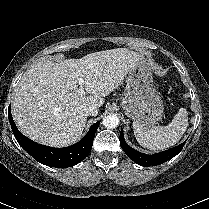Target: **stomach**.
Masks as SVG:
<instances>
[{
    "label": "stomach",
    "mask_w": 209,
    "mask_h": 209,
    "mask_svg": "<svg viewBox=\"0 0 209 209\" xmlns=\"http://www.w3.org/2000/svg\"><path fill=\"white\" fill-rule=\"evenodd\" d=\"M121 106L127 117L142 126H154L162 119L164 105L153 83L149 63L144 58L127 73Z\"/></svg>",
    "instance_id": "1"
}]
</instances>
